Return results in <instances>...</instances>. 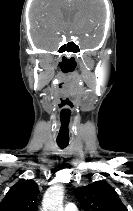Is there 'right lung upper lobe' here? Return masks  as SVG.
<instances>
[{"mask_svg": "<svg viewBox=\"0 0 133 211\" xmlns=\"http://www.w3.org/2000/svg\"><path fill=\"white\" fill-rule=\"evenodd\" d=\"M38 193V185L33 180H22L0 202V211H36Z\"/></svg>", "mask_w": 133, "mask_h": 211, "instance_id": "right-lung-upper-lobe-1", "label": "right lung upper lobe"}]
</instances>
